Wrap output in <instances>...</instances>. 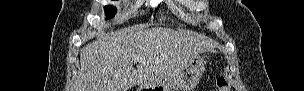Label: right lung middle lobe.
<instances>
[{"label": "right lung middle lobe", "instance_id": "1", "mask_svg": "<svg viewBox=\"0 0 304 91\" xmlns=\"http://www.w3.org/2000/svg\"><path fill=\"white\" fill-rule=\"evenodd\" d=\"M105 13H106V18H113L115 16L116 13V9L112 6H106L105 7Z\"/></svg>", "mask_w": 304, "mask_h": 91}]
</instances>
